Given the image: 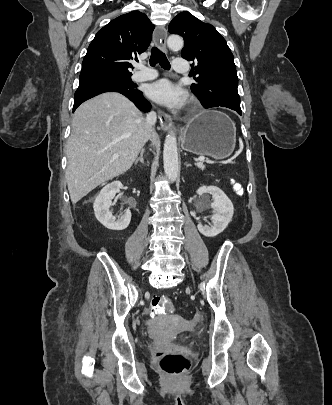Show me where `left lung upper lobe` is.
Returning a JSON list of instances; mask_svg holds the SVG:
<instances>
[{
    "label": "left lung upper lobe",
    "instance_id": "1",
    "mask_svg": "<svg viewBox=\"0 0 332 405\" xmlns=\"http://www.w3.org/2000/svg\"><path fill=\"white\" fill-rule=\"evenodd\" d=\"M168 30L184 38L181 56L193 61L191 75L197 83L191 85V90L203 107L241 111L234 57L218 31L188 12L178 14Z\"/></svg>",
    "mask_w": 332,
    "mask_h": 405
}]
</instances>
